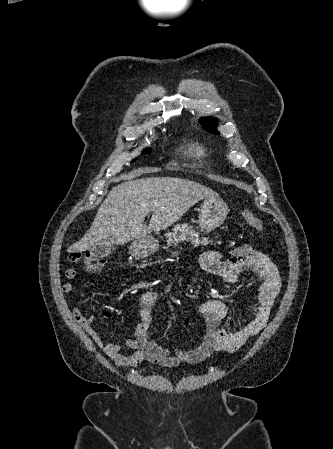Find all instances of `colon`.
<instances>
[{
	"label": "colon",
	"mask_w": 333,
	"mask_h": 449,
	"mask_svg": "<svg viewBox=\"0 0 333 449\" xmlns=\"http://www.w3.org/2000/svg\"><path fill=\"white\" fill-rule=\"evenodd\" d=\"M241 216L253 229L257 231L264 230L262 221L249 210H243ZM66 259L70 263L82 265L89 272H99L106 262L102 257L78 250L70 251L66 256Z\"/></svg>",
	"instance_id": "1"
}]
</instances>
